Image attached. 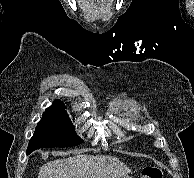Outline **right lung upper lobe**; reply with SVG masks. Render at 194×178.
<instances>
[{"label": "right lung upper lobe", "mask_w": 194, "mask_h": 178, "mask_svg": "<svg viewBox=\"0 0 194 178\" xmlns=\"http://www.w3.org/2000/svg\"><path fill=\"white\" fill-rule=\"evenodd\" d=\"M48 109H55V110H60V111L66 112L64 110V104L61 103V101H59V100L58 101H55L53 103V105L50 108H48Z\"/></svg>", "instance_id": "right-lung-upper-lobe-1"}]
</instances>
